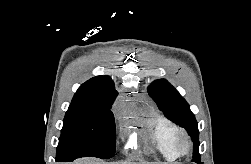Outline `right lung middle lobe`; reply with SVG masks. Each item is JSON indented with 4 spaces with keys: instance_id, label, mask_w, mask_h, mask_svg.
<instances>
[{
    "instance_id": "obj_1",
    "label": "right lung middle lobe",
    "mask_w": 251,
    "mask_h": 164,
    "mask_svg": "<svg viewBox=\"0 0 251 164\" xmlns=\"http://www.w3.org/2000/svg\"><path fill=\"white\" fill-rule=\"evenodd\" d=\"M111 107L72 101L63 121L56 158L113 157L115 122Z\"/></svg>"
}]
</instances>
